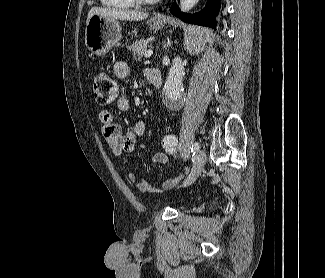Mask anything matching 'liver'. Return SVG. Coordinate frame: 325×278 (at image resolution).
I'll return each mask as SVG.
<instances>
[{"instance_id": "1", "label": "liver", "mask_w": 325, "mask_h": 278, "mask_svg": "<svg viewBox=\"0 0 325 278\" xmlns=\"http://www.w3.org/2000/svg\"><path fill=\"white\" fill-rule=\"evenodd\" d=\"M93 15H100L105 18L127 21H141L148 17V13L116 8L92 7L88 13L87 21Z\"/></svg>"}]
</instances>
